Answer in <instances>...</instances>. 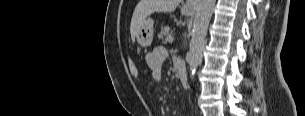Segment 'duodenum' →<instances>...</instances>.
<instances>
[{
	"label": "duodenum",
	"mask_w": 305,
	"mask_h": 116,
	"mask_svg": "<svg viewBox=\"0 0 305 116\" xmlns=\"http://www.w3.org/2000/svg\"><path fill=\"white\" fill-rule=\"evenodd\" d=\"M176 67H177V71L179 74L182 88L186 89L188 86V76H187L186 65L183 61H177Z\"/></svg>",
	"instance_id": "obj_1"
}]
</instances>
